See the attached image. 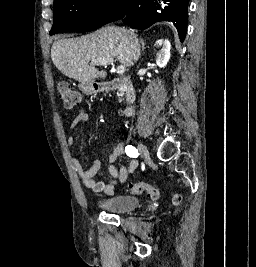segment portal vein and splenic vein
Returning a JSON list of instances; mask_svg holds the SVG:
<instances>
[{
    "label": "portal vein and splenic vein",
    "mask_w": 256,
    "mask_h": 267,
    "mask_svg": "<svg viewBox=\"0 0 256 267\" xmlns=\"http://www.w3.org/2000/svg\"><path fill=\"white\" fill-rule=\"evenodd\" d=\"M91 64H96V66H108V64H112L113 66V60H111V62H95V60H91ZM116 70L117 74H124L125 66H118Z\"/></svg>",
    "instance_id": "1"
}]
</instances>
